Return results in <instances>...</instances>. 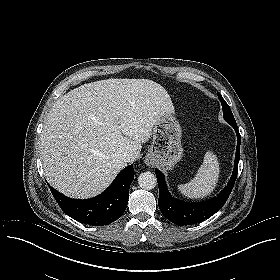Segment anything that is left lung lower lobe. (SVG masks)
<instances>
[{
	"mask_svg": "<svg viewBox=\"0 0 280 280\" xmlns=\"http://www.w3.org/2000/svg\"><path fill=\"white\" fill-rule=\"evenodd\" d=\"M231 126L234 128L237 134V149L234 170L227 187H225V189L220 194L211 200L198 203H188L174 199L167 190L163 173L158 169H155L159 187L158 205L162 214L172 223L178 226L199 223L218 212L227 201L237 177L241 142V136L237 125Z\"/></svg>",
	"mask_w": 280,
	"mask_h": 280,
	"instance_id": "0a47b994",
	"label": "left lung lower lobe"
}]
</instances>
